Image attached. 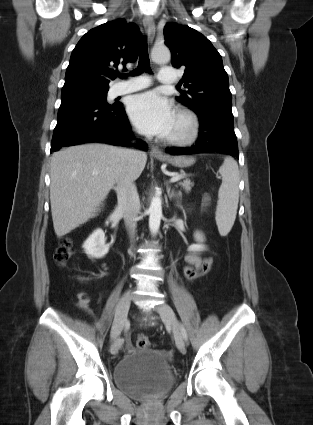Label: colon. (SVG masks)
<instances>
[{
  "mask_svg": "<svg viewBox=\"0 0 313 425\" xmlns=\"http://www.w3.org/2000/svg\"><path fill=\"white\" fill-rule=\"evenodd\" d=\"M71 253H72V242L69 239H65L56 248L55 253H54V260L57 263V265L65 266L68 263V261L71 257ZM212 266H213L212 258L205 259L202 266L199 269L192 267V266H187L183 269V272H182L183 279L186 282L193 281L196 278L203 276L204 274L209 272L211 270ZM136 346L139 349L149 348L150 347L149 338L144 334L138 335V337L136 339Z\"/></svg>",
  "mask_w": 313,
  "mask_h": 425,
  "instance_id": "5ec220e1",
  "label": "colon"
}]
</instances>
